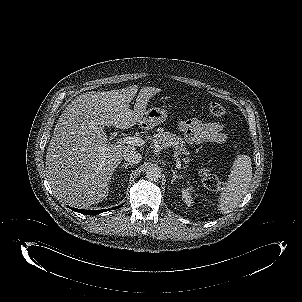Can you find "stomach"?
<instances>
[{"label": "stomach", "mask_w": 302, "mask_h": 302, "mask_svg": "<svg viewBox=\"0 0 302 302\" xmlns=\"http://www.w3.org/2000/svg\"><path fill=\"white\" fill-rule=\"evenodd\" d=\"M167 118V111L163 108L152 107L149 108L143 117L141 126L145 129H152L155 126L165 122Z\"/></svg>", "instance_id": "stomach-1"}]
</instances>
